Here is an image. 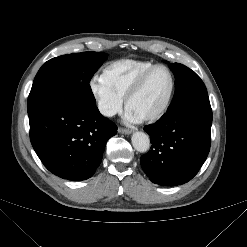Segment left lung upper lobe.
<instances>
[{"label":"left lung upper lobe","instance_id":"1","mask_svg":"<svg viewBox=\"0 0 247 247\" xmlns=\"http://www.w3.org/2000/svg\"><path fill=\"white\" fill-rule=\"evenodd\" d=\"M169 67L175 76V93L167 111L209 100L203 81L194 71L179 63L170 64Z\"/></svg>","mask_w":247,"mask_h":247}]
</instances>
